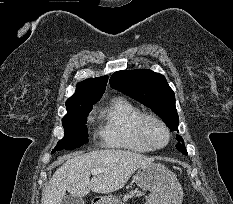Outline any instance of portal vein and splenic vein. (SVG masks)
I'll use <instances>...</instances> for the list:
<instances>
[{"label": "portal vein and splenic vein", "instance_id": "portal-vein-and-splenic-vein-1", "mask_svg": "<svg viewBox=\"0 0 233 204\" xmlns=\"http://www.w3.org/2000/svg\"><path fill=\"white\" fill-rule=\"evenodd\" d=\"M105 171H106V169H93V170H91V174L95 176V175H98V174L103 173Z\"/></svg>", "mask_w": 233, "mask_h": 204}]
</instances>
